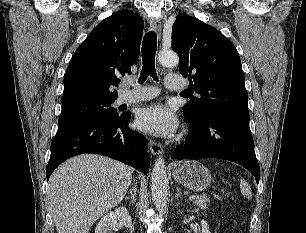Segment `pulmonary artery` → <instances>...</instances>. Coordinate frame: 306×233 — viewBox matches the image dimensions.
Masks as SVG:
<instances>
[{"instance_id": "obj_1", "label": "pulmonary artery", "mask_w": 306, "mask_h": 233, "mask_svg": "<svg viewBox=\"0 0 306 233\" xmlns=\"http://www.w3.org/2000/svg\"><path fill=\"white\" fill-rule=\"evenodd\" d=\"M125 89L120 92L116 103H136L146 101L156 97L159 94V90L154 86H137L131 82L124 83ZM132 87V89H129ZM166 88L171 91H181L185 88V82L177 75H169L166 77Z\"/></svg>"}]
</instances>
